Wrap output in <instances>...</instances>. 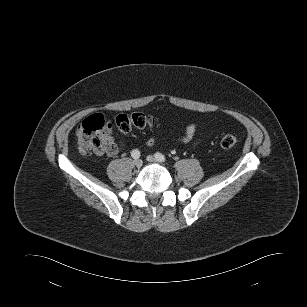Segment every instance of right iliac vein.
<instances>
[{"instance_id":"1","label":"right iliac vein","mask_w":307,"mask_h":307,"mask_svg":"<svg viewBox=\"0 0 307 307\" xmlns=\"http://www.w3.org/2000/svg\"><path fill=\"white\" fill-rule=\"evenodd\" d=\"M143 162L142 160L140 159H136L134 160V165L137 167V168H140L142 166Z\"/></svg>"}]
</instances>
